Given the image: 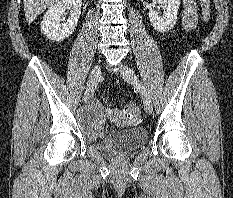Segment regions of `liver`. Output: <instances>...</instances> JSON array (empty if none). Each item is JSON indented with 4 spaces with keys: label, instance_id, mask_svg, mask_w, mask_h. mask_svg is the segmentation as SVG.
Returning a JSON list of instances; mask_svg holds the SVG:
<instances>
[{
    "label": "liver",
    "instance_id": "1",
    "mask_svg": "<svg viewBox=\"0 0 233 198\" xmlns=\"http://www.w3.org/2000/svg\"><path fill=\"white\" fill-rule=\"evenodd\" d=\"M58 0H23L25 18L32 23L46 8L53 6Z\"/></svg>",
    "mask_w": 233,
    "mask_h": 198
}]
</instances>
